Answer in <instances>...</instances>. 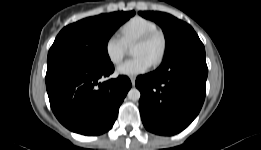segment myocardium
Returning <instances> with one entry per match:
<instances>
[{
  "instance_id": "obj_1",
  "label": "myocardium",
  "mask_w": 261,
  "mask_h": 150,
  "mask_svg": "<svg viewBox=\"0 0 261 150\" xmlns=\"http://www.w3.org/2000/svg\"><path fill=\"white\" fill-rule=\"evenodd\" d=\"M155 39L160 40V49H159V52H158L156 58L153 61V65L158 66L164 60L166 52H167V38L163 31H161L159 29L150 31V32L142 35L141 37H139L135 41V44L136 43L148 44V43H151L152 41H154Z\"/></svg>"
}]
</instances>
